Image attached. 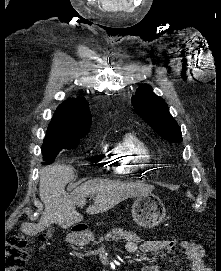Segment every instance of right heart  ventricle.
Returning <instances> with one entry per match:
<instances>
[{
	"mask_svg": "<svg viewBox=\"0 0 221 271\" xmlns=\"http://www.w3.org/2000/svg\"><path fill=\"white\" fill-rule=\"evenodd\" d=\"M123 142H118V147H123V151H130L134 154H116V158H108V163L114 164H146L152 160L150 147L140 138H124ZM118 176L126 179L132 176L134 179L141 173L136 171L139 166H114Z\"/></svg>",
	"mask_w": 221,
	"mask_h": 271,
	"instance_id": "obj_1",
	"label": "right heart ventricle"
}]
</instances>
